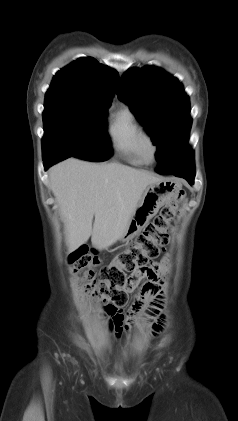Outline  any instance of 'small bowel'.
Segmentation results:
<instances>
[{
    "instance_id": "c3829d8e",
    "label": "small bowel",
    "mask_w": 238,
    "mask_h": 421,
    "mask_svg": "<svg viewBox=\"0 0 238 421\" xmlns=\"http://www.w3.org/2000/svg\"><path fill=\"white\" fill-rule=\"evenodd\" d=\"M167 264L166 258L160 262H154L151 265L138 269L132 274L133 288L146 279L147 282L142 285L141 291L130 308L126 317L119 314L117 309L111 310L110 315L113 318L112 328L116 335H120L124 330H128L131 322L134 320L136 313L148 301L150 307L146 310L145 318L150 319L159 312L162 307V292H161V276Z\"/></svg>"
}]
</instances>
